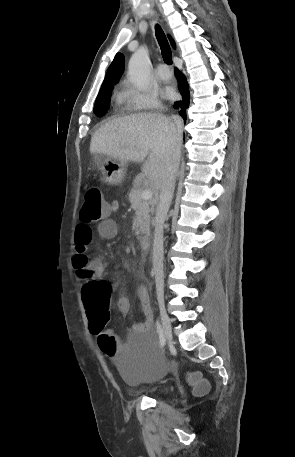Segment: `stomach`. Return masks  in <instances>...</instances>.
I'll use <instances>...</instances> for the list:
<instances>
[{"label":"stomach","mask_w":295,"mask_h":457,"mask_svg":"<svg viewBox=\"0 0 295 457\" xmlns=\"http://www.w3.org/2000/svg\"><path fill=\"white\" fill-rule=\"evenodd\" d=\"M96 158L102 160L100 170L104 176V181L110 185H119L124 180L126 174V162L112 157L96 155Z\"/></svg>","instance_id":"1"}]
</instances>
